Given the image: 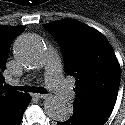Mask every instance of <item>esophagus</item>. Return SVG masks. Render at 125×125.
<instances>
[{"mask_svg":"<svg viewBox=\"0 0 125 125\" xmlns=\"http://www.w3.org/2000/svg\"><path fill=\"white\" fill-rule=\"evenodd\" d=\"M33 97L39 98V99H45L47 98L49 95L48 94H39V93H34L32 94Z\"/></svg>","mask_w":125,"mask_h":125,"instance_id":"obj_1","label":"esophagus"}]
</instances>
